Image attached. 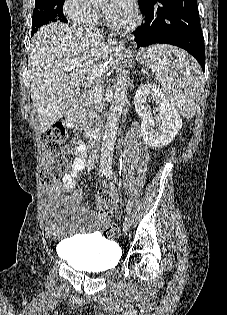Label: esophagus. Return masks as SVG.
<instances>
[{
  "mask_svg": "<svg viewBox=\"0 0 227 315\" xmlns=\"http://www.w3.org/2000/svg\"><path fill=\"white\" fill-rule=\"evenodd\" d=\"M113 42H114V43H119V41H118V40H116V39H113Z\"/></svg>",
  "mask_w": 227,
  "mask_h": 315,
  "instance_id": "obj_1",
  "label": "esophagus"
}]
</instances>
